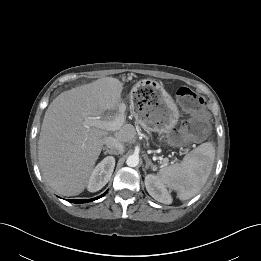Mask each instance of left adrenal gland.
Segmentation results:
<instances>
[{"instance_id":"a2214340","label":"left adrenal gland","mask_w":261,"mask_h":261,"mask_svg":"<svg viewBox=\"0 0 261 261\" xmlns=\"http://www.w3.org/2000/svg\"><path fill=\"white\" fill-rule=\"evenodd\" d=\"M145 161H146L145 169H148L149 167H151V169L153 171L156 170L155 165L151 162V160L148 157H146Z\"/></svg>"}]
</instances>
